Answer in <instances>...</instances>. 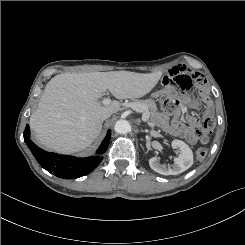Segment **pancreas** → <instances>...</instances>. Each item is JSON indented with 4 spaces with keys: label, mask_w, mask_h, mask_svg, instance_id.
<instances>
[{
    "label": "pancreas",
    "mask_w": 245,
    "mask_h": 245,
    "mask_svg": "<svg viewBox=\"0 0 245 245\" xmlns=\"http://www.w3.org/2000/svg\"><path fill=\"white\" fill-rule=\"evenodd\" d=\"M128 104H135L137 112L144 113L147 111L151 116H153L157 110L155 102L151 99L144 101L135 100L134 102Z\"/></svg>",
    "instance_id": "cf45deb5"
}]
</instances>
